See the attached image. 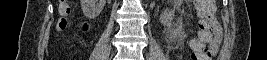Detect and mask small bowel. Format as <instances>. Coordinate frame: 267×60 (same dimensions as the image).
<instances>
[{
  "instance_id": "c3829d8e",
  "label": "small bowel",
  "mask_w": 267,
  "mask_h": 60,
  "mask_svg": "<svg viewBox=\"0 0 267 60\" xmlns=\"http://www.w3.org/2000/svg\"><path fill=\"white\" fill-rule=\"evenodd\" d=\"M206 42L212 50L213 55L218 53L221 40H222V30L219 23L214 20L210 29L205 34Z\"/></svg>"
}]
</instances>
